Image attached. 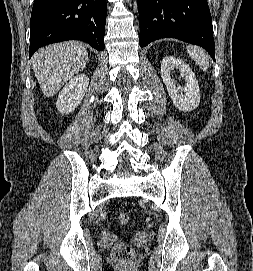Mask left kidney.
Here are the masks:
<instances>
[{
  "label": "left kidney",
  "mask_w": 253,
  "mask_h": 271,
  "mask_svg": "<svg viewBox=\"0 0 253 271\" xmlns=\"http://www.w3.org/2000/svg\"><path fill=\"white\" fill-rule=\"evenodd\" d=\"M178 69L181 77L185 79V86H176V82L170 76V71ZM161 77L167 87L168 94L173 104L181 111L196 109L200 103L199 85L192 69L176 57H165L161 63Z\"/></svg>",
  "instance_id": "left-kidney-1"
}]
</instances>
